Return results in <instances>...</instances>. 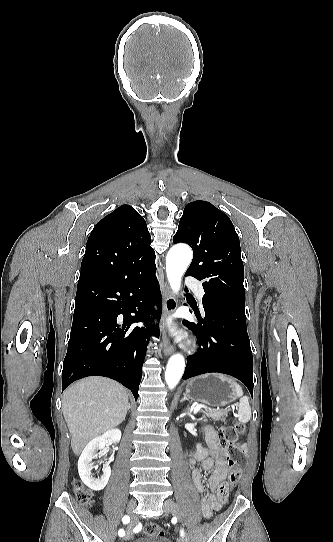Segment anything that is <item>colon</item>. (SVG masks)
Wrapping results in <instances>:
<instances>
[{"instance_id":"obj_1","label":"colon","mask_w":333,"mask_h":542,"mask_svg":"<svg viewBox=\"0 0 333 542\" xmlns=\"http://www.w3.org/2000/svg\"><path fill=\"white\" fill-rule=\"evenodd\" d=\"M245 433L243 423L229 424L226 423L222 428H217L216 437L218 444L221 447H228ZM244 451L242 449H233L231 456L227 458V464L230 468L229 482L221 486L219 493L222 496H227L230 490L237 484L243 465ZM74 490L77 500L84 505H91L92 495L85 491L79 483H74ZM163 530L157 523H147L143 529V535L149 538L162 537Z\"/></svg>"}]
</instances>
